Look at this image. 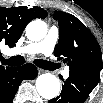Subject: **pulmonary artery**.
Returning <instances> with one entry per match:
<instances>
[{"label": "pulmonary artery", "instance_id": "1", "mask_svg": "<svg viewBox=\"0 0 103 103\" xmlns=\"http://www.w3.org/2000/svg\"><path fill=\"white\" fill-rule=\"evenodd\" d=\"M59 37V31L58 28L55 26H52L47 36L40 42L32 43L29 45H26L24 47L17 48L15 50V54H37L42 53L46 56H49L52 54L54 47L58 41ZM63 77L66 79L69 77V70L66 69L62 72Z\"/></svg>", "mask_w": 103, "mask_h": 103}]
</instances>
